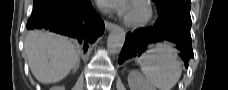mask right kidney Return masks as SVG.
Returning <instances> with one entry per match:
<instances>
[{"label":"right kidney","mask_w":228,"mask_h":90,"mask_svg":"<svg viewBox=\"0 0 228 90\" xmlns=\"http://www.w3.org/2000/svg\"><path fill=\"white\" fill-rule=\"evenodd\" d=\"M64 86H55L53 88H51V90H64Z\"/></svg>","instance_id":"right-kidney-1"}]
</instances>
